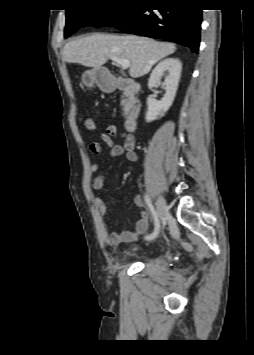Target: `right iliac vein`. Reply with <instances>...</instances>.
<instances>
[{"label":"right iliac vein","mask_w":254,"mask_h":355,"mask_svg":"<svg viewBox=\"0 0 254 355\" xmlns=\"http://www.w3.org/2000/svg\"><path fill=\"white\" fill-rule=\"evenodd\" d=\"M156 213L159 219H163L169 213L166 201L161 195L156 200Z\"/></svg>","instance_id":"obj_1"}]
</instances>
